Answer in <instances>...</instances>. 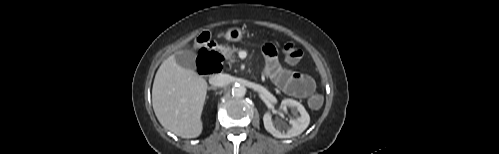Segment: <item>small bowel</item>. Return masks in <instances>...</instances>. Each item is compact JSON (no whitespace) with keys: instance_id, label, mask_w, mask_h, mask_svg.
Returning <instances> with one entry per match:
<instances>
[{"instance_id":"small-bowel-1","label":"small bowel","mask_w":499,"mask_h":154,"mask_svg":"<svg viewBox=\"0 0 499 154\" xmlns=\"http://www.w3.org/2000/svg\"><path fill=\"white\" fill-rule=\"evenodd\" d=\"M263 54L266 60L264 74L282 91L298 98H306L315 90L316 84L312 77L280 67L273 45L266 44Z\"/></svg>"}]
</instances>
